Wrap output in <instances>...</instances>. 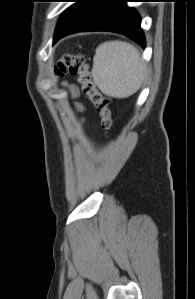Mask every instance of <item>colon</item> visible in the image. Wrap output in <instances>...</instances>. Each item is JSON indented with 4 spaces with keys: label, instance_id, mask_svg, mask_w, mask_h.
I'll return each mask as SVG.
<instances>
[{
    "label": "colon",
    "instance_id": "obj_1",
    "mask_svg": "<svg viewBox=\"0 0 195 299\" xmlns=\"http://www.w3.org/2000/svg\"><path fill=\"white\" fill-rule=\"evenodd\" d=\"M54 72L59 77L69 73L76 78L83 93L99 114L101 124L104 128H109L113 117L112 99L103 94L96 86L85 55L65 53L57 63Z\"/></svg>",
    "mask_w": 195,
    "mask_h": 299
}]
</instances>
